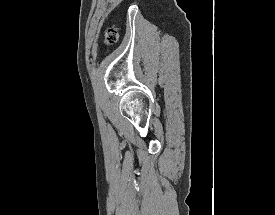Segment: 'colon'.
<instances>
[{
  "mask_svg": "<svg viewBox=\"0 0 275 215\" xmlns=\"http://www.w3.org/2000/svg\"><path fill=\"white\" fill-rule=\"evenodd\" d=\"M118 38V29L115 25H110L104 31V39L108 44L115 43Z\"/></svg>",
  "mask_w": 275,
  "mask_h": 215,
  "instance_id": "5ec220e1",
  "label": "colon"
}]
</instances>
